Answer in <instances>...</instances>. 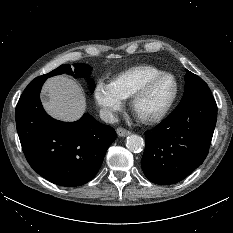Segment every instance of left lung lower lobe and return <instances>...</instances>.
Listing matches in <instances>:
<instances>
[{"instance_id":"left-lung-lower-lobe-1","label":"left lung lower lobe","mask_w":233,"mask_h":233,"mask_svg":"<svg viewBox=\"0 0 233 233\" xmlns=\"http://www.w3.org/2000/svg\"><path fill=\"white\" fill-rule=\"evenodd\" d=\"M216 120L212 94L178 105L161 124L145 133V176L153 183L170 185L191 174L208 154Z\"/></svg>"}]
</instances>
